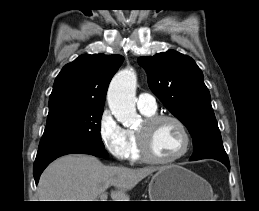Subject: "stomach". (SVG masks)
I'll list each match as a JSON object with an SVG mask.
<instances>
[{"mask_svg": "<svg viewBox=\"0 0 259 211\" xmlns=\"http://www.w3.org/2000/svg\"><path fill=\"white\" fill-rule=\"evenodd\" d=\"M211 196L205 180L178 165L161 167L149 183L150 201H208Z\"/></svg>", "mask_w": 259, "mask_h": 211, "instance_id": "obj_1", "label": "stomach"}]
</instances>
